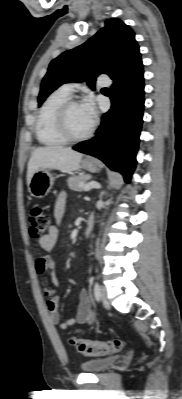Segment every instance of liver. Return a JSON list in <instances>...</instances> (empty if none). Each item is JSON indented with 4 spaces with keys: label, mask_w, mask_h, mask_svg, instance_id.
I'll use <instances>...</instances> for the list:
<instances>
[{
    "label": "liver",
    "mask_w": 182,
    "mask_h": 399,
    "mask_svg": "<svg viewBox=\"0 0 182 399\" xmlns=\"http://www.w3.org/2000/svg\"><path fill=\"white\" fill-rule=\"evenodd\" d=\"M82 157V153L60 146L35 149L28 162L27 185L29 186L33 174L40 169L50 168L69 172L78 170Z\"/></svg>",
    "instance_id": "1"
}]
</instances>
